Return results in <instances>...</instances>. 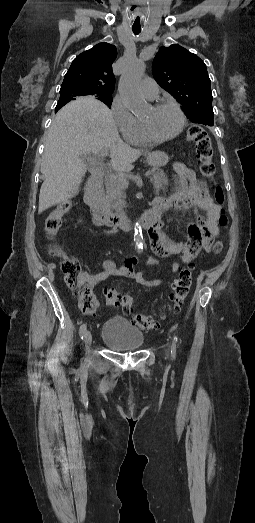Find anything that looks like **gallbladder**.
Wrapping results in <instances>:
<instances>
[{
	"label": "gallbladder",
	"instance_id": "obj_1",
	"mask_svg": "<svg viewBox=\"0 0 255 523\" xmlns=\"http://www.w3.org/2000/svg\"><path fill=\"white\" fill-rule=\"evenodd\" d=\"M80 160L84 162V164H88L90 162L91 158H88V156H80Z\"/></svg>",
	"mask_w": 255,
	"mask_h": 523
}]
</instances>
